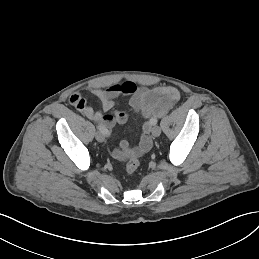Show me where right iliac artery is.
Here are the masks:
<instances>
[{"label":"right iliac artery","instance_id":"right-iliac-artery-1","mask_svg":"<svg viewBox=\"0 0 259 259\" xmlns=\"http://www.w3.org/2000/svg\"><path fill=\"white\" fill-rule=\"evenodd\" d=\"M98 129L100 130V132L105 135V136H109L110 132L102 125H98Z\"/></svg>","mask_w":259,"mask_h":259}]
</instances>
